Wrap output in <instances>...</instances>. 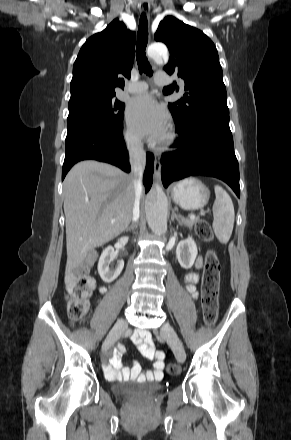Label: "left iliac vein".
<instances>
[{"instance_id":"obj_1","label":"left iliac vein","mask_w":291,"mask_h":440,"mask_svg":"<svg viewBox=\"0 0 291 440\" xmlns=\"http://www.w3.org/2000/svg\"><path fill=\"white\" fill-rule=\"evenodd\" d=\"M160 333L172 348L178 362L183 363L186 358L185 350L175 330L169 324H164Z\"/></svg>"}]
</instances>
